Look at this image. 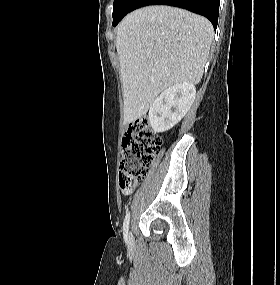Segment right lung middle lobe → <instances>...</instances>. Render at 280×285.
Returning <instances> with one entry per match:
<instances>
[{"label":"right lung middle lobe","mask_w":280,"mask_h":285,"mask_svg":"<svg viewBox=\"0 0 280 285\" xmlns=\"http://www.w3.org/2000/svg\"><path fill=\"white\" fill-rule=\"evenodd\" d=\"M137 0H114L113 26L117 25L121 19L133 10Z\"/></svg>","instance_id":"right-lung-middle-lobe-1"}]
</instances>
